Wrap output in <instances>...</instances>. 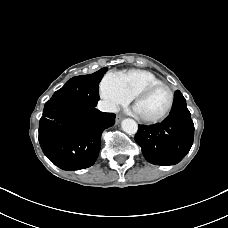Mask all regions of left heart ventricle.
I'll return each mask as SVG.
<instances>
[{
    "mask_svg": "<svg viewBox=\"0 0 228 228\" xmlns=\"http://www.w3.org/2000/svg\"><path fill=\"white\" fill-rule=\"evenodd\" d=\"M169 102V91L163 87L157 88L137 103L136 112L143 117H156L166 110Z\"/></svg>",
    "mask_w": 228,
    "mask_h": 228,
    "instance_id": "obj_1",
    "label": "left heart ventricle"
}]
</instances>
